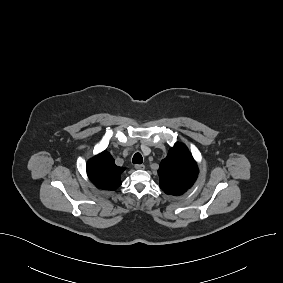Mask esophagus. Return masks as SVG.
I'll return each instance as SVG.
<instances>
[{"label": "esophagus", "mask_w": 283, "mask_h": 283, "mask_svg": "<svg viewBox=\"0 0 283 283\" xmlns=\"http://www.w3.org/2000/svg\"><path fill=\"white\" fill-rule=\"evenodd\" d=\"M145 168V166L143 164H136L135 165V169L137 170H143Z\"/></svg>", "instance_id": "1"}]
</instances>
